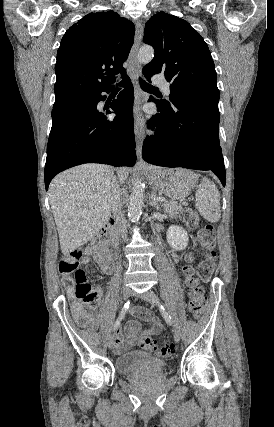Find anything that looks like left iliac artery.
Segmentation results:
<instances>
[{
  "mask_svg": "<svg viewBox=\"0 0 274 427\" xmlns=\"http://www.w3.org/2000/svg\"><path fill=\"white\" fill-rule=\"evenodd\" d=\"M159 308H160V311H161V313H162V316H163V318H164V320L168 323V324H172V319H171V316L169 315V313L165 310V308H164V306L163 305H160L159 306Z\"/></svg>",
  "mask_w": 274,
  "mask_h": 427,
  "instance_id": "obj_1",
  "label": "left iliac artery"
}]
</instances>
